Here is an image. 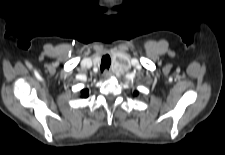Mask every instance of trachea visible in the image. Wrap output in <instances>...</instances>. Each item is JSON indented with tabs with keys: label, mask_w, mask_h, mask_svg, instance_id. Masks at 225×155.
<instances>
[{
	"label": "trachea",
	"mask_w": 225,
	"mask_h": 155,
	"mask_svg": "<svg viewBox=\"0 0 225 155\" xmlns=\"http://www.w3.org/2000/svg\"><path fill=\"white\" fill-rule=\"evenodd\" d=\"M110 64H111L110 56L109 55H104L102 57L101 65H100L101 72H103L105 69H109Z\"/></svg>",
	"instance_id": "trachea-1"
}]
</instances>
